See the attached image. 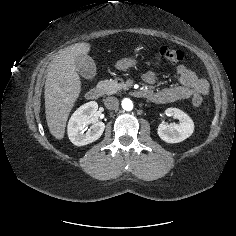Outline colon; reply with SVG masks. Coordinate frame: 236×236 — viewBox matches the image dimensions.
I'll use <instances>...</instances> for the list:
<instances>
[{"label":"colon","instance_id":"1","mask_svg":"<svg viewBox=\"0 0 236 236\" xmlns=\"http://www.w3.org/2000/svg\"><path fill=\"white\" fill-rule=\"evenodd\" d=\"M159 54L163 60L173 65L178 64L184 58V55L180 50L169 46H162L159 50ZM192 102L194 106L199 107L203 102V98L201 95L195 94L193 95Z\"/></svg>","mask_w":236,"mask_h":236}]
</instances>
